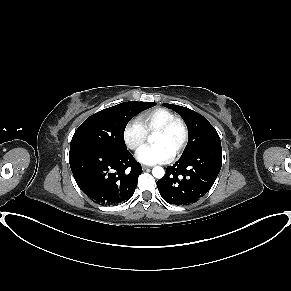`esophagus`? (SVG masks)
Listing matches in <instances>:
<instances>
[{
    "label": "esophagus",
    "mask_w": 291,
    "mask_h": 291,
    "mask_svg": "<svg viewBox=\"0 0 291 291\" xmlns=\"http://www.w3.org/2000/svg\"><path fill=\"white\" fill-rule=\"evenodd\" d=\"M149 168H150L149 166H145V165L142 166V169H143V170H147V169H149Z\"/></svg>",
    "instance_id": "1"
}]
</instances>
